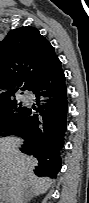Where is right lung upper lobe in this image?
<instances>
[{
	"label": "right lung upper lobe",
	"mask_w": 89,
	"mask_h": 203,
	"mask_svg": "<svg viewBox=\"0 0 89 203\" xmlns=\"http://www.w3.org/2000/svg\"><path fill=\"white\" fill-rule=\"evenodd\" d=\"M60 64L54 48L38 29L27 26L10 31L0 42V106L13 101L21 86L29 90Z\"/></svg>",
	"instance_id": "obj_1"
}]
</instances>
